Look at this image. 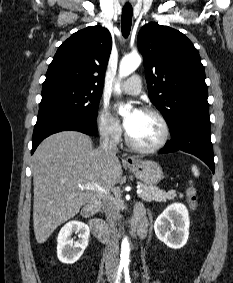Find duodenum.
<instances>
[{
  "mask_svg": "<svg viewBox=\"0 0 233 283\" xmlns=\"http://www.w3.org/2000/svg\"><path fill=\"white\" fill-rule=\"evenodd\" d=\"M100 205V199L98 197L92 198L89 203L82 209L81 214L84 218L88 219L91 230L94 235L102 242H109L110 232L106 225L99 219L93 218V215L97 211ZM141 219V217H138ZM137 235L142 237L145 233L146 225L143 221L137 223Z\"/></svg>",
  "mask_w": 233,
  "mask_h": 283,
  "instance_id": "410a0bca",
  "label": "duodenum"
}]
</instances>
